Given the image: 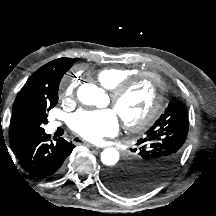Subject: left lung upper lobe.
<instances>
[{
	"label": "left lung upper lobe",
	"mask_w": 216,
	"mask_h": 216,
	"mask_svg": "<svg viewBox=\"0 0 216 216\" xmlns=\"http://www.w3.org/2000/svg\"><path fill=\"white\" fill-rule=\"evenodd\" d=\"M188 127L185 105L169 102L165 113L138 140V149L132 150L137 151L136 158L127 161L130 171L121 182L123 186L133 187L129 195L151 190L175 168L183 153Z\"/></svg>",
	"instance_id": "5c2ea615"
}]
</instances>
